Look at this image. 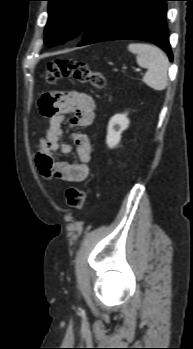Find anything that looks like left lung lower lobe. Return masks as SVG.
Segmentation results:
<instances>
[{
	"label": "left lung lower lobe",
	"mask_w": 193,
	"mask_h": 349,
	"mask_svg": "<svg viewBox=\"0 0 193 349\" xmlns=\"http://www.w3.org/2000/svg\"><path fill=\"white\" fill-rule=\"evenodd\" d=\"M168 0H107L83 32L78 46L107 40L138 39L152 42L172 53L165 23Z\"/></svg>",
	"instance_id": "obj_1"
}]
</instances>
